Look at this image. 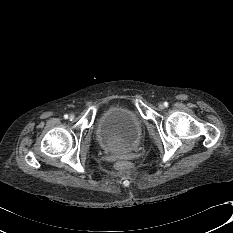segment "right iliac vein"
<instances>
[{
  "instance_id": "63e3f726",
  "label": "right iliac vein",
  "mask_w": 233,
  "mask_h": 233,
  "mask_svg": "<svg viewBox=\"0 0 233 233\" xmlns=\"http://www.w3.org/2000/svg\"><path fill=\"white\" fill-rule=\"evenodd\" d=\"M69 119H70V120H73V119H74V115L71 114V115L69 116Z\"/></svg>"
}]
</instances>
